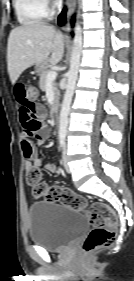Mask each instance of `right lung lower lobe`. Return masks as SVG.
I'll use <instances>...</instances> for the list:
<instances>
[{
  "instance_id": "1",
  "label": "right lung lower lobe",
  "mask_w": 134,
  "mask_h": 281,
  "mask_svg": "<svg viewBox=\"0 0 134 281\" xmlns=\"http://www.w3.org/2000/svg\"><path fill=\"white\" fill-rule=\"evenodd\" d=\"M65 17H66V14H65V9L62 11V13L60 14L59 18H58V23L60 25L64 24L65 23ZM71 23L73 24L74 23V20L71 21Z\"/></svg>"
}]
</instances>
